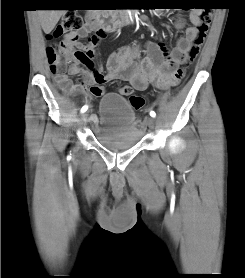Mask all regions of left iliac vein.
Returning <instances> with one entry per match:
<instances>
[{"instance_id": "obj_1", "label": "left iliac vein", "mask_w": 245, "mask_h": 278, "mask_svg": "<svg viewBox=\"0 0 245 278\" xmlns=\"http://www.w3.org/2000/svg\"><path fill=\"white\" fill-rule=\"evenodd\" d=\"M146 123L149 128L153 129L155 127V120L154 118H147Z\"/></svg>"}]
</instances>
